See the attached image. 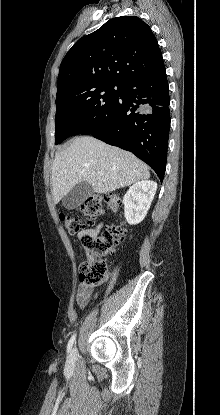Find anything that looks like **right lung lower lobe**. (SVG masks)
Instances as JSON below:
<instances>
[{
    "mask_svg": "<svg viewBox=\"0 0 220 415\" xmlns=\"http://www.w3.org/2000/svg\"><path fill=\"white\" fill-rule=\"evenodd\" d=\"M170 97L165 66L123 83L108 119L91 133L128 150L163 181L170 127Z\"/></svg>",
    "mask_w": 220,
    "mask_h": 415,
    "instance_id": "1",
    "label": "right lung lower lobe"
}]
</instances>
